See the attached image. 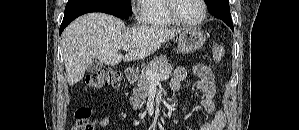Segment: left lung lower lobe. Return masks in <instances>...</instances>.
<instances>
[{"mask_svg":"<svg viewBox=\"0 0 299 130\" xmlns=\"http://www.w3.org/2000/svg\"><path fill=\"white\" fill-rule=\"evenodd\" d=\"M211 14L214 15L216 18L223 20L234 31L233 22H232L231 16H228V17L225 16V17H223L220 14H216V13H211Z\"/></svg>","mask_w":299,"mask_h":130,"instance_id":"0a47b994","label":"left lung lower lobe"}]
</instances>
